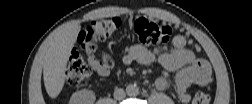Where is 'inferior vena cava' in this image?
<instances>
[{
    "instance_id": "602c4592",
    "label": "inferior vena cava",
    "mask_w": 252,
    "mask_h": 104,
    "mask_svg": "<svg viewBox=\"0 0 252 104\" xmlns=\"http://www.w3.org/2000/svg\"><path fill=\"white\" fill-rule=\"evenodd\" d=\"M116 100H123L126 97L125 91L121 88H116L113 94Z\"/></svg>"
}]
</instances>
